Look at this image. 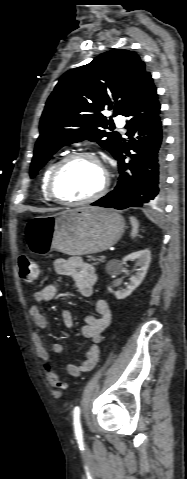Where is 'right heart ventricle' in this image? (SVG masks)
Returning <instances> with one entry per match:
<instances>
[{
  "mask_svg": "<svg viewBox=\"0 0 187 479\" xmlns=\"http://www.w3.org/2000/svg\"><path fill=\"white\" fill-rule=\"evenodd\" d=\"M55 165H56V162H51L46 167L41 177L40 190H41L42 197L44 198L45 201H52V199L49 197L47 193V182H48L49 175Z\"/></svg>",
  "mask_w": 187,
  "mask_h": 479,
  "instance_id": "e07e8e85",
  "label": "right heart ventricle"
}]
</instances>
